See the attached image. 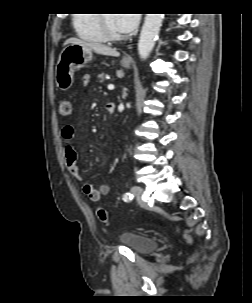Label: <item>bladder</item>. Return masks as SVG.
I'll list each match as a JSON object with an SVG mask.
<instances>
[{"mask_svg": "<svg viewBox=\"0 0 252 303\" xmlns=\"http://www.w3.org/2000/svg\"><path fill=\"white\" fill-rule=\"evenodd\" d=\"M120 241L138 254H148L159 246L156 239L131 231L123 233L120 236Z\"/></svg>", "mask_w": 252, "mask_h": 303, "instance_id": "bladder-1", "label": "bladder"}]
</instances>
